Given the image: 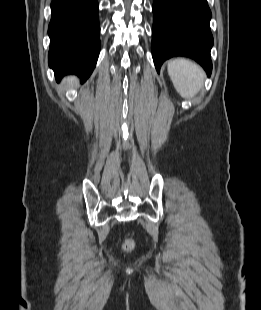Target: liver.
I'll return each instance as SVG.
<instances>
[{
	"label": "liver",
	"instance_id": "obj_1",
	"mask_svg": "<svg viewBox=\"0 0 261 310\" xmlns=\"http://www.w3.org/2000/svg\"><path fill=\"white\" fill-rule=\"evenodd\" d=\"M67 82H69V83H73L74 82V79L73 78H69L68 80H67Z\"/></svg>",
	"mask_w": 261,
	"mask_h": 310
}]
</instances>
